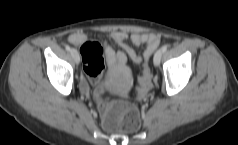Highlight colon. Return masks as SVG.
<instances>
[{
  "instance_id": "colon-1",
  "label": "colon",
  "mask_w": 238,
  "mask_h": 145,
  "mask_svg": "<svg viewBox=\"0 0 238 145\" xmlns=\"http://www.w3.org/2000/svg\"><path fill=\"white\" fill-rule=\"evenodd\" d=\"M85 73L97 83L103 71L104 50L97 41L87 40L80 45ZM140 93H144L150 85L148 67L143 70L140 78ZM104 127L109 131L132 132L140 127V114L136 106L119 100H107L102 89L97 91Z\"/></svg>"
}]
</instances>
